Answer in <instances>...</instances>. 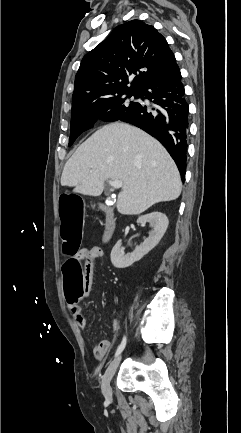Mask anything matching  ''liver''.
Instances as JSON below:
<instances>
[{"label": "liver", "mask_w": 241, "mask_h": 433, "mask_svg": "<svg viewBox=\"0 0 241 433\" xmlns=\"http://www.w3.org/2000/svg\"><path fill=\"white\" fill-rule=\"evenodd\" d=\"M108 179L123 183L116 207L124 215L175 200L182 190L177 166L161 143L125 123L105 125L82 143L66 162L61 185L100 196Z\"/></svg>", "instance_id": "liver-1"}]
</instances>
